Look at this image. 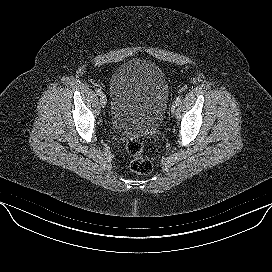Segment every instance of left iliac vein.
<instances>
[{"mask_svg":"<svg viewBox=\"0 0 272 272\" xmlns=\"http://www.w3.org/2000/svg\"><path fill=\"white\" fill-rule=\"evenodd\" d=\"M176 109H177V106L175 105V103H173L172 106H171V113L175 114Z\"/></svg>","mask_w":272,"mask_h":272,"instance_id":"left-iliac-vein-1","label":"left iliac vein"}]
</instances>
